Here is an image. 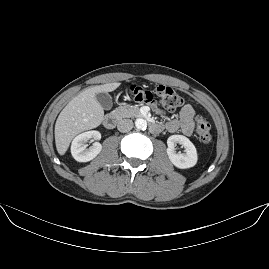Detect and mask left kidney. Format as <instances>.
I'll use <instances>...</instances> for the list:
<instances>
[{"label": "left kidney", "mask_w": 269, "mask_h": 269, "mask_svg": "<svg viewBox=\"0 0 269 269\" xmlns=\"http://www.w3.org/2000/svg\"><path fill=\"white\" fill-rule=\"evenodd\" d=\"M176 144L184 147L185 152L180 153L176 150ZM167 154L171 162L179 168H188L197 161L196 148L193 143L183 135H172L167 139Z\"/></svg>", "instance_id": "obj_1"}]
</instances>
